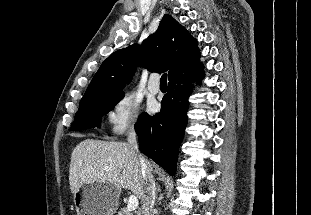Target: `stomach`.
Here are the masks:
<instances>
[{
  "label": "stomach",
  "mask_w": 311,
  "mask_h": 215,
  "mask_svg": "<svg viewBox=\"0 0 311 215\" xmlns=\"http://www.w3.org/2000/svg\"><path fill=\"white\" fill-rule=\"evenodd\" d=\"M120 190L101 181L84 182L74 194L78 215H113L118 206Z\"/></svg>",
  "instance_id": "1"
}]
</instances>
